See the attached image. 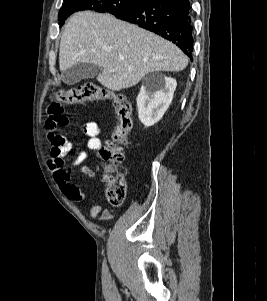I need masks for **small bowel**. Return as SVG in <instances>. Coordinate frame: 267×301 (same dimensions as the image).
Masks as SVG:
<instances>
[{"label": "small bowel", "mask_w": 267, "mask_h": 301, "mask_svg": "<svg viewBox=\"0 0 267 301\" xmlns=\"http://www.w3.org/2000/svg\"><path fill=\"white\" fill-rule=\"evenodd\" d=\"M69 120L65 114L63 105L59 102H51L47 106V119L45 129L47 139L51 145L48 166L51 169L55 182L61 192L71 201L80 202L85 199V193L71 181L72 172L79 170L83 175L95 178L97 172L86 166L84 163L88 158L87 150H97L101 148L99 135L102 132L101 127L96 122H86L82 125V132L88 138L87 150H82L69 159L72 151L71 143L64 135L59 132V127L68 125ZM91 219L99 221H108L113 218L110 211L102 209L95 203L89 211Z\"/></svg>", "instance_id": "1"}]
</instances>
